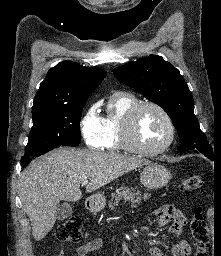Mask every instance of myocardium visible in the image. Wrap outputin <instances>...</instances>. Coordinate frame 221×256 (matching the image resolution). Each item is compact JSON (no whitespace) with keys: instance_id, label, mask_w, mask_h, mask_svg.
<instances>
[{"instance_id":"myocardium-1","label":"myocardium","mask_w":221,"mask_h":256,"mask_svg":"<svg viewBox=\"0 0 221 256\" xmlns=\"http://www.w3.org/2000/svg\"><path fill=\"white\" fill-rule=\"evenodd\" d=\"M146 107H152L159 111L161 115L166 120L167 126H168V137L165 140V142L156 148H147L143 146L136 135V123L137 118L140 112L146 108ZM176 135V128L173 121V118L169 114V112L160 104L154 102V101H142L135 104L133 107H131L125 117L121 136L122 141L125 145V147L134 153L144 155V156H156L159 154L164 153L174 142Z\"/></svg>"}]
</instances>
